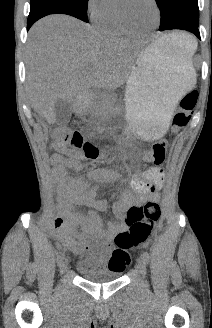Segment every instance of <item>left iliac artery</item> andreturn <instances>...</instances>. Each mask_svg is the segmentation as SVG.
I'll return each mask as SVG.
<instances>
[{
	"label": "left iliac artery",
	"instance_id": "44dca946",
	"mask_svg": "<svg viewBox=\"0 0 212 328\" xmlns=\"http://www.w3.org/2000/svg\"><path fill=\"white\" fill-rule=\"evenodd\" d=\"M142 258L144 259L145 263H147V264L149 263V261H150V255H149V253L147 251H144L142 253Z\"/></svg>",
	"mask_w": 212,
	"mask_h": 328
}]
</instances>
